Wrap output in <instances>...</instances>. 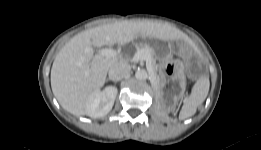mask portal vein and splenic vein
Instances as JSON below:
<instances>
[{"label":"portal vein and splenic vein","instance_id":"18ae733b","mask_svg":"<svg viewBox=\"0 0 261 150\" xmlns=\"http://www.w3.org/2000/svg\"><path fill=\"white\" fill-rule=\"evenodd\" d=\"M101 54L104 55V56H110V57H117V56H122V53L121 51H116V50H113L111 48H105V49H102L101 51ZM133 60L134 61H139V60H146V66H147V69L151 72V69H150V65H149V60H150V57L147 53L146 50L144 49H138L134 56H133Z\"/></svg>","mask_w":261,"mask_h":150}]
</instances>
